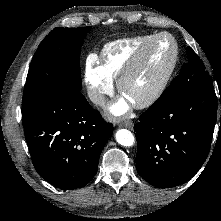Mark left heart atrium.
<instances>
[{
  "mask_svg": "<svg viewBox=\"0 0 221 221\" xmlns=\"http://www.w3.org/2000/svg\"><path fill=\"white\" fill-rule=\"evenodd\" d=\"M130 109V101L126 97L120 98L109 107V112L115 117L125 115Z\"/></svg>",
  "mask_w": 221,
  "mask_h": 221,
  "instance_id": "obj_1",
  "label": "left heart atrium"
}]
</instances>
